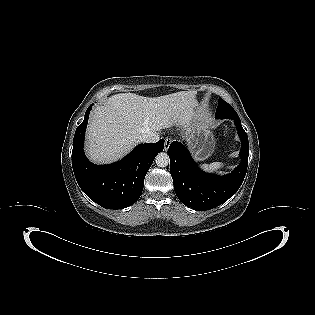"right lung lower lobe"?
Listing matches in <instances>:
<instances>
[{
	"mask_svg": "<svg viewBox=\"0 0 315 315\" xmlns=\"http://www.w3.org/2000/svg\"><path fill=\"white\" fill-rule=\"evenodd\" d=\"M93 105V104H92ZM77 127L73 139L72 166L80 188L94 202L108 209H122L141 196L145 175L156 154L163 151L164 139L153 144H140L125 158L110 165H94L85 156L83 143L88 116Z\"/></svg>",
	"mask_w": 315,
	"mask_h": 315,
	"instance_id": "98d812e1",
	"label": "right lung lower lobe"
}]
</instances>
